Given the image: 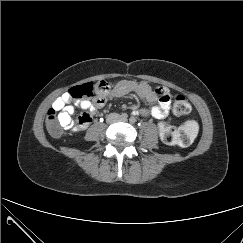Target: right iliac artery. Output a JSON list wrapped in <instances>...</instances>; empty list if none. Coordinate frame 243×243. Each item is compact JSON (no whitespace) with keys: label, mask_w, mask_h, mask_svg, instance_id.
I'll list each match as a JSON object with an SVG mask.
<instances>
[{"label":"right iliac artery","mask_w":243,"mask_h":243,"mask_svg":"<svg viewBox=\"0 0 243 243\" xmlns=\"http://www.w3.org/2000/svg\"><path fill=\"white\" fill-rule=\"evenodd\" d=\"M122 119H127L128 115L126 113H122L120 116Z\"/></svg>","instance_id":"right-iliac-artery-1"}]
</instances>
